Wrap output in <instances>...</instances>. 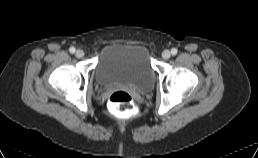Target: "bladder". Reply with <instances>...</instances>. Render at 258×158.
<instances>
[{
    "label": "bladder",
    "instance_id": "obj_1",
    "mask_svg": "<svg viewBox=\"0 0 258 158\" xmlns=\"http://www.w3.org/2000/svg\"><path fill=\"white\" fill-rule=\"evenodd\" d=\"M154 77L149 50L143 44L112 43L99 54L95 79L100 86L126 84L146 90Z\"/></svg>",
    "mask_w": 258,
    "mask_h": 158
}]
</instances>
